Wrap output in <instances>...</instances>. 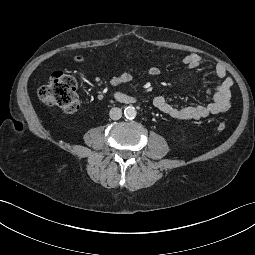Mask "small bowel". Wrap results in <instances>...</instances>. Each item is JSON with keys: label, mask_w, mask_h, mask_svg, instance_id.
<instances>
[{"label": "small bowel", "mask_w": 255, "mask_h": 255, "mask_svg": "<svg viewBox=\"0 0 255 255\" xmlns=\"http://www.w3.org/2000/svg\"><path fill=\"white\" fill-rule=\"evenodd\" d=\"M75 61L84 62L85 58L83 56H76ZM182 63L190 69H196L203 64V59L196 53H189L182 58ZM214 70L219 82L206 90L211 96V101L209 103L176 107L169 103L164 96L158 95L153 98L152 102L154 107L163 114L180 121L198 120L209 115L226 112L231 106V87L233 81L223 65L216 64ZM145 73L148 76L155 77L159 75L160 70L156 66H150L146 69ZM133 79L134 74L132 72H124L110 78L109 84L111 86H118L128 83Z\"/></svg>", "instance_id": "c3829d8e"}]
</instances>
